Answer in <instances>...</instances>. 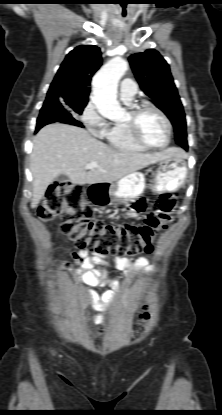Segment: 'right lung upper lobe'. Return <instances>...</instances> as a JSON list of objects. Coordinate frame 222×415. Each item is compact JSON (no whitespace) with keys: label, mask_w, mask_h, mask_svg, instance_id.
<instances>
[{"label":"right lung upper lobe","mask_w":222,"mask_h":415,"mask_svg":"<svg viewBox=\"0 0 222 415\" xmlns=\"http://www.w3.org/2000/svg\"><path fill=\"white\" fill-rule=\"evenodd\" d=\"M101 63V52L97 46L81 45L73 49L61 64L45 102L59 99L88 102L91 78Z\"/></svg>","instance_id":"obj_1"}]
</instances>
